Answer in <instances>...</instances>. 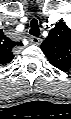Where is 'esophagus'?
<instances>
[{
	"label": "esophagus",
	"mask_w": 71,
	"mask_h": 119,
	"mask_svg": "<svg viewBox=\"0 0 71 119\" xmlns=\"http://www.w3.org/2000/svg\"><path fill=\"white\" fill-rule=\"evenodd\" d=\"M30 41H31V43H33L35 45H40L41 42H42V39L39 38V37L33 36V37L30 38Z\"/></svg>",
	"instance_id": "1"
}]
</instances>
